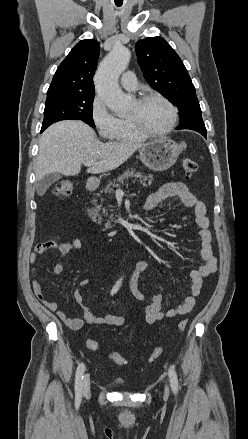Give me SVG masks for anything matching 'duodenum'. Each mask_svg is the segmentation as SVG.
<instances>
[{
	"mask_svg": "<svg viewBox=\"0 0 248 439\" xmlns=\"http://www.w3.org/2000/svg\"><path fill=\"white\" fill-rule=\"evenodd\" d=\"M97 188L96 183L93 180H89L88 184H87V189L88 191H95Z\"/></svg>",
	"mask_w": 248,
	"mask_h": 439,
	"instance_id": "410a0bca",
	"label": "duodenum"
}]
</instances>
